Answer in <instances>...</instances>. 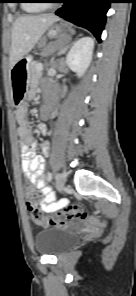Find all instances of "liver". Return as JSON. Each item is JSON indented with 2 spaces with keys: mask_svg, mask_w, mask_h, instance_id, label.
<instances>
[{
  "mask_svg": "<svg viewBox=\"0 0 136 296\" xmlns=\"http://www.w3.org/2000/svg\"><path fill=\"white\" fill-rule=\"evenodd\" d=\"M58 20L52 14L22 15L16 19L11 34V68L33 49L45 31Z\"/></svg>",
  "mask_w": 136,
  "mask_h": 296,
  "instance_id": "1",
  "label": "liver"
}]
</instances>
